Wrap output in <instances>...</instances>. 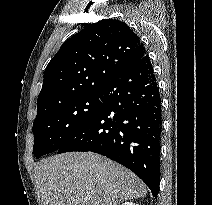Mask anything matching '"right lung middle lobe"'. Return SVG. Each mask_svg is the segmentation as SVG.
I'll return each mask as SVG.
<instances>
[{
    "label": "right lung middle lobe",
    "instance_id": "right-lung-middle-lobe-1",
    "mask_svg": "<svg viewBox=\"0 0 212 205\" xmlns=\"http://www.w3.org/2000/svg\"><path fill=\"white\" fill-rule=\"evenodd\" d=\"M101 103V92L83 95L37 116L33 122L35 157L57 151L89 120Z\"/></svg>",
    "mask_w": 212,
    "mask_h": 205
}]
</instances>
